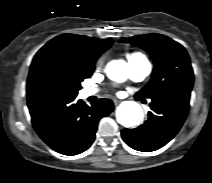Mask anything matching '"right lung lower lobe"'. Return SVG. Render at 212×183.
<instances>
[{
	"mask_svg": "<svg viewBox=\"0 0 212 183\" xmlns=\"http://www.w3.org/2000/svg\"><path fill=\"white\" fill-rule=\"evenodd\" d=\"M75 97L47 95L28 99L32 124L40 138L55 151L76 155L87 150L95 139L102 117L113 111V102L99 99L91 107Z\"/></svg>",
	"mask_w": 212,
	"mask_h": 183,
	"instance_id": "obj_1",
	"label": "right lung lower lobe"
}]
</instances>
